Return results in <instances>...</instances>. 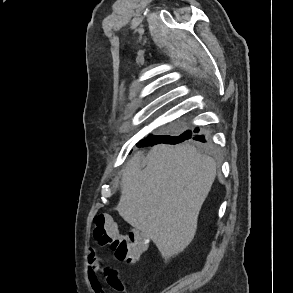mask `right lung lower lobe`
I'll return each mask as SVG.
<instances>
[{"label":"right lung lower lobe","mask_w":293,"mask_h":293,"mask_svg":"<svg viewBox=\"0 0 293 293\" xmlns=\"http://www.w3.org/2000/svg\"><path fill=\"white\" fill-rule=\"evenodd\" d=\"M199 130L195 129L194 131H186L183 134L179 136H169V135H163V136H154L149 135L147 138L141 140L138 143L139 147H145V146H153L159 143H168V144H176L183 142L187 139H194L200 142H205L204 135H199Z\"/></svg>","instance_id":"obj_1"}]
</instances>
